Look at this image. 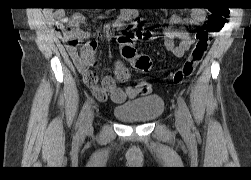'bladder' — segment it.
I'll return each instance as SVG.
<instances>
[{"mask_svg":"<svg viewBox=\"0 0 251 180\" xmlns=\"http://www.w3.org/2000/svg\"><path fill=\"white\" fill-rule=\"evenodd\" d=\"M164 108V99L154 94L117 105L113 108V114L124 123L144 124L157 119Z\"/></svg>","mask_w":251,"mask_h":180,"instance_id":"bladder-1","label":"bladder"}]
</instances>
